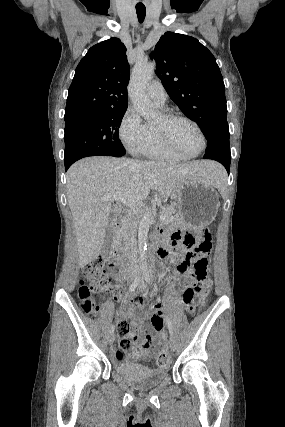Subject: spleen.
<instances>
[{
    "label": "spleen",
    "mask_w": 285,
    "mask_h": 427,
    "mask_svg": "<svg viewBox=\"0 0 285 427\" xmlns=\"http://www.w3.org/2000/svg\"><path fill=\"white\" fill-rule=\"evenodd\" d=\"M213 186L221 192L225 191L227 187V175L223 168L216 171V181Z\"/></svg>",
    "instance_id": "obj_1"
}]
</instances>
